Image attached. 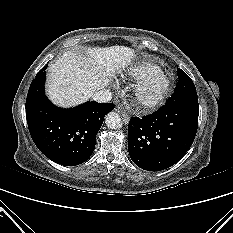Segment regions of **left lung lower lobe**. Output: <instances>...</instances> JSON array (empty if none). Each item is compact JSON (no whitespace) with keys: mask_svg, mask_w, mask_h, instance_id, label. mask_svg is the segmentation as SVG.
<instances>
[{"mask_svg":"<svg viewBox=\"0 0 233 233\" xmlns=\"http://www.w3.org/2000/svg\"><path fill=\"white\" fill-rule=\"evenodd\" d=\"M198 115V99L178 103L170 97L153 114L132 117L128 124V150L132 161L148 171L174 165L194 141Z\"/></svg>","mask_w":233,"mask_h":233,"instance_id":"left-lung-lower-lobe-1","label":"left lung lower lobe"}]
</instances>
